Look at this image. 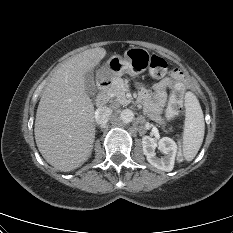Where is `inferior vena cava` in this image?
I'll use <instances>...</instances> for the list:
<instances>
[{
	"instance_id": "602c4592",
	"label": "inferior vena cava",
	"mask_w": 233,
	"mask_h": 233,
	"mask_svg": "<svg viewBox=\"0 0 233 233\" xmlns=\"http://www.w3.org/2000/svg\"><path fill=\"white\" fill-rule=\"evenodd\" d=\"M112 115V110L109 107H101L95 111V121L98 125H105L108 123Z\"/></svg>"
}]
</instances>
